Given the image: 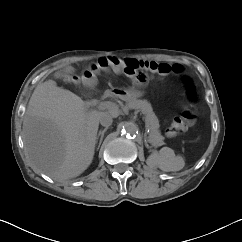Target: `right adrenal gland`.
<instances>
[{
	"label": "right adrenal gland",
	"mask_w": 242,
	"mask_h": 242,
	"mask_svg": "<svg viewBox=\"0 0 242 242\" xmlns=\"http://www.w3.org/2000/svg\"><path fill=\"white\" fill-rule=\"evenodd\" d=\"M108 127L104 128L103 130H100L98 132V135L96 137V143L98 142V139L100 137V141H99V144H98V148L100 147L102 141H103V137H104V133L107 131Z\"/></svg>",
	"instance_id": "obj_1"
}]
</instances>
